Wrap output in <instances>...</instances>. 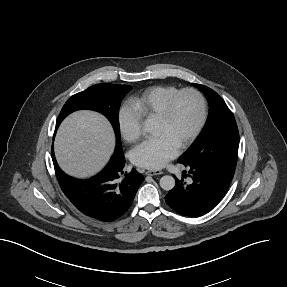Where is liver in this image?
<instances>
[{
    "instance_id": "6515ba94",
    "label": "liver",
    "mask_w": 287,
    "mask_h": 287,
    "mask_svg": "<svg viewBox=\"0 0 287 287\" xmlns=\"http://www.w3.org/2000/svg\"><path fill=\"white\" fill-rule=\"evenodd\" d=\"M114 145L112 128L103 116L79 111L62 123L54 148L57 162L65 173L86 178L105 166Z\"/></svg>"
}]
</instances>
